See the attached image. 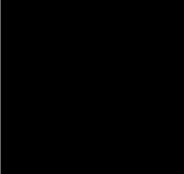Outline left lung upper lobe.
<instances>
[{
	"label": "left lung upper lobe",
	"mask_w": 184,
	"mask_h": 174,
	"mask_svg": "<svg viewBox=\"0 0 184 174\" xmlns=\"http://www.w3.org/2000/svg\"><path fill=\"white\" fill-rule=\"evenodd\" d=\"M112 80L117 97L126 104L125 124L164 134L173 114V93L146 58L133 49L118 51Z\"/></svg>",
	"instance_id": "5c2ea615"
}]
</instances>
